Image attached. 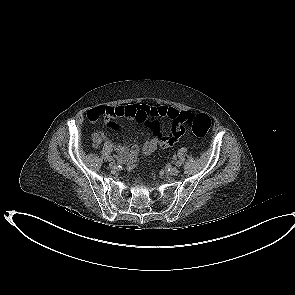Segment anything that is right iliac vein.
Returning <instances> with one entry per match:
<instances>
[{"label": "right iliac vein", "instance_id": "right-iliac-vein-1", "mask_svg": "<svg viewBox=\"0 0 295 295\" xmlns=\"http://www.w3.org/2000/svg\"><path fill=\"white\" fill-rule=\"evenodd\" d=\"M109 166L112 169H115L116 168V164L114 162H110Z\"/></svg>", "mask_w": 295, "mask_h": 295}]
</instances>
